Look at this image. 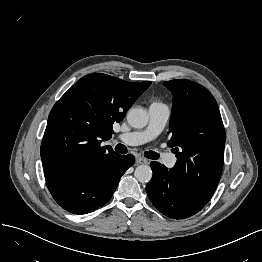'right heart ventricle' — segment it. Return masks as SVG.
<instances>
[{
    "mask_svg": "<svg viewBox=\"0 0 262 262\" xmlns=\"http://www.w3.org/2000/svg\"><path fill=\"white\" fill-rule=\"evenodd\" d=\"M155 103H158L157 101H153V103L152 104H155Z\"/></svg>",
    "mask_w": 262,
    "mask_h": 262,
    "instance_id": "right-heart-ventricle-1",
    "label": "right heart ventricle"
}]
</instances>
